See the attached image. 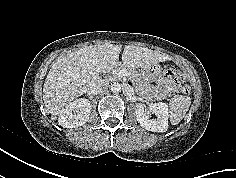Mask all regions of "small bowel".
<instances>
[{
	"label": "small bowel",
	"instance_id": "c3829d8e",
	"mask_svg": "<svg viewBox=\"0 0 236 178\" xmlns=\"http://www.w3.org/2000/svg\"><path fill=\"white\" fill-rule=\"evenodd\" d=\"M181 79L185 81L187 79L186 74H181ZM179 91L177 87V83L175 81L167 80L161 78L158 80L157 84L155 85V92L152 96L153 100H161L164 97L173 94Z\"/></svg>",
	"mask_w": 236,
	"mask_h": 178
}]
</instances>
